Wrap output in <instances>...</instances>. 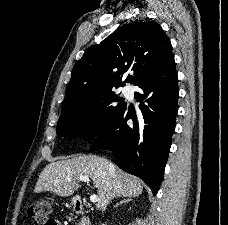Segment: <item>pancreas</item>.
<instances>
[{
	"label": "pancreas",
	"mask_w": 228,
	"mask_h": 225,
	"mask_svg": "<svg viewBox=\"0 0 228 225\" xmlns=\"http://www.w3.org/2000/svg\"><path fill=\"white\" fill-rule=\"evenodd\" d=\"M83 225H91V223H90L89 219H87V217H86V221H85V223H83Z\"/></svg>",
	"instance_id": "1"
}]
</instances>
